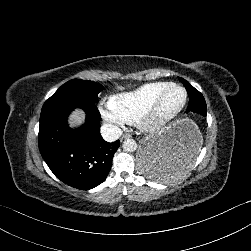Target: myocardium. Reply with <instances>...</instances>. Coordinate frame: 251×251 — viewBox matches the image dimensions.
<instances>
[{
    "mask_svg": "<svg viewBox=\"0 0 251 251\" xmlns=\"http://www.w3.org/2000/svg\"><path fill=\"white\" fill-rule=\"evenodd\" d=\"M170 88H176L179 90H182L185 94V100L184 103L179 110V112L172 118L167 119V120H162L158 118L157 114L158 111L165 100L168 90ZM189 103V93L185 87L182 85H179L177 83H169L157 96L155 101L150 105L148 108L147 112L145 113L143 117L144 120V125L147 128L148 131L150 132H163L168 129H170L172 126L176 125L181 118L184 116L187 107Z\"/></svg>",
    "mask_w": 251,
    "mask_h": 251,
    "instance_id": "1",
    "label": "myocardium"
}]
</instances>
